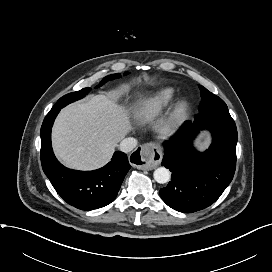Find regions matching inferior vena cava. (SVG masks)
<instances>
[{"label":"inferior vena cava","instance_id":"inferior-vena-cava-1","mask_svg":"<svg viewBox=\"0 0 272 272\" xmlns=\"http://www.w3.org/2000/svg\"><path fill=\"white\" fill-rule=\"evenodd\" d=\"M137 145V140L133 137H128L120 142L119 148L122 152L128 153L132 151Z\"/></svg>","mask_w":272,"mask_h":272}]
</instances>
